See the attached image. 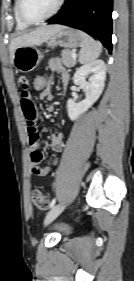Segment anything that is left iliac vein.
<instances>
[{
  "mask_svg": "<svg viewBox=\"0 0 134 281\" xmlns=\"http://www.w3.org/2000/svg\"><path fill=\"white\" fill-rule=\"evenodd\" d=\"M65 208L64 204L54 206L45 218V224L51 223Z\"/></svg>",
  "mask_w": 134,
  "mask_h": 281,
  "instance_id": "left-iliac-vein-1",
  "label": "left iliac vein"
}]
</instances>
